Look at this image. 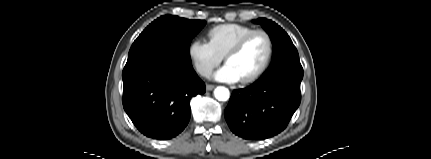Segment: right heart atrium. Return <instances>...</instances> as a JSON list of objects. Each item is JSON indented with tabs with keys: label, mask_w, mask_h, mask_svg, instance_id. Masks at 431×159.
Segmentation results:
<instances>
[{
	"label": "right heart atrium",
	"mask_w": 431,
	"mask_h": 159,
	"mask_svg": "<svg viewBox=\"0 0 431 159\" xmlns=\"http://www.w3.org/2000/svg\"><path fill=\"white\" fill-rule=\"evenodd\" d=\"M188 56L195 70L202 77H209L223 58L209 42L199 38L193 39L189 43Z\"/></svg>",
	"instance_id": "right-heart-atrium-1"
}]
</instances>
